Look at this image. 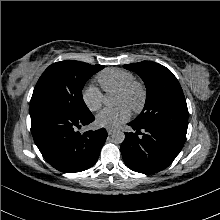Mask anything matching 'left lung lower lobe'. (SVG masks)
I'll return each instance as SVG.
<instances>
[{
    "instance_id": "0a47b994",
    "label": "left lung lower lobe",
    "mask_w": 220,
    "mask_h": 220,
    "mask_svg": "<svg viewBox=\"0 0 220 220\" xmlns=\"http://www.w3.org/2000/svg\"><path fill=\"white\" fill-rule=\"evenodd\" d=\"M128 125L136 132L125 133L121 153L127 167L139 173L153 174L167 168L186 140V135L166 126H139L133 121Z\"/></svg>"
}]
</instances>
